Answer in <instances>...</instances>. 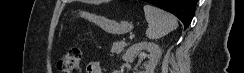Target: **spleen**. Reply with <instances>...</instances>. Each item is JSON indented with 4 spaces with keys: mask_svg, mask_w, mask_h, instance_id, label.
<instances>
[{
    "mask_svg": "<svg viewBox=\"0 0 244 73\" xmlns=\"http://www.w3.org/2000/svg\"><path fill=\"white\" fill-rule=\"evenodd\" d=\"M143 9L148 22V39L157 40L178 27L177 20L172 14L150 4L144 5Z\"/></svg>",
    "mask_w": 244,
    "mask_h": 73,
    "instance_id": "1",
    "label": "spleen"
}]
</instances>
